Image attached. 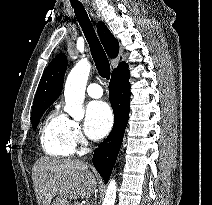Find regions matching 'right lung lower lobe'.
Instances as JSON below:
<instances>
[{
    "label": "right lung lower lobe",
    "mask_w": 212,
    "mask_h": 205,
    "mask_svg": "<svg viewBox=\"0 0 212 205\" xmlns=\"http://www.w3.org/2000/svg\"><path fill=\"white\" fill-rule=\"evenodd\" d=\"M130 78L127 64L112 72L109 99L114 113V126L109 136L95 150L93 165L107 183L120 146L130 111Z\"/></svg>",
    "instance_id": "98d812e1"
}]
</instances>
